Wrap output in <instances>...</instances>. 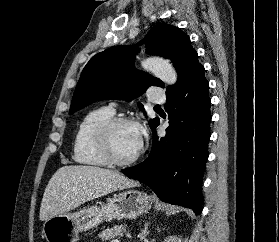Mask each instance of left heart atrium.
I'll return each mask as SVG.
<instances>
[{
	"label": "left heart atrium",
	"instance_id": "left-heart-atrium-1",
	"mask_svg": "<svg viewBox=\"0 0 279 242\" xmlns=\"http://www.w3.org/2000/svg\"><path fill=\"white\" fill-rule=\"evenodd\" d=\"M140 141H141V132H140Z\"/></svg>",
	"mask_w": 279,
	"mask_h": 242
}]
</instances>
